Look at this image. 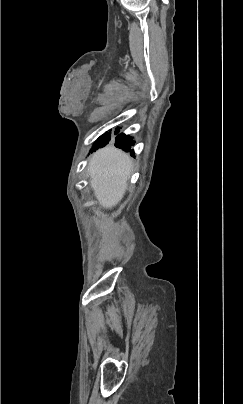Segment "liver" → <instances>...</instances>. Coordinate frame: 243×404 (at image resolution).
I'll return each mask as SVG.
<instances>
[{"mask_svg": "<svg viewBox=\"0 0 243 404\" xmlns=\"http://www.w3.org/2000/svg\"><path fill=\"white\" fill-rule=\"evenodd\" d=\"M132 170L130 156L106 146L93 154L88 164L90 186L102 208H114L122 200Z\"/></svg>", "mask_w": 243, "mask_h": 404, "instance_id": "1", "label": "liver"}]
</instances>
